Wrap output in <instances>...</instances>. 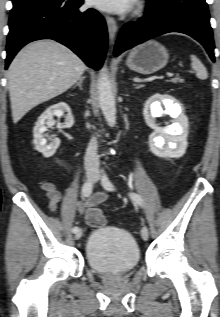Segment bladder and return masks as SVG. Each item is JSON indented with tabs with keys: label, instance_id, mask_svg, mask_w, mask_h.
<instances>
[{
	"label": "bladder",
	"instance_id": "bladder-1",
	"mask_svg": "<svg viewBox=\"0 0 220 317\" xmlns=\"http://www.w3.org/2000/svg\"><path fill=\"white\" fill-rule=\"evenodd\" d=\"M86 263L101 274H125L134 270L141 258L140 249L130 232L122 228L93 230L85 243Z\"/></svg>",
	"mask_w": 220,
	"mask_h": 317
}]
</instances>
